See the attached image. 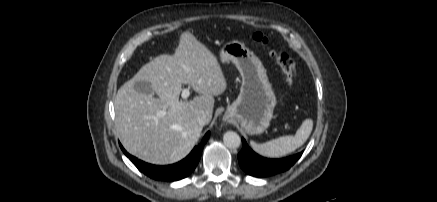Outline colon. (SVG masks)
Wrapping results in <instances>:
<instances>
[{"label": "colon", "mask_w": 437, "mask_h": 202, "mask_svg": "<svg viewBox=\"0 0 437 202\" xmlns=\"http://www.w3.org/2000/svg\"><path fill=\"white\" fill-rule=\"evenodd\" d=\"M253 41L268 47L270 41L268 37L260 32H256L252 35ZM270 56L275 60L283 74L285 75L286 82L289 86H292L296 81L295 63L288 52L283 50H269Z\"/></svg>", "instance_id": "1"}]
</instances>
